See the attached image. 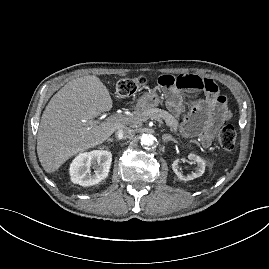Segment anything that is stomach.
Listing matches in <instances>:
<instances>
[{
  "label": "stomach",
  "instance_id": "obj_1",
  "mask_svg": "<svg viewBox=\"0 0 269 269\" xmlns=\"http://www.w3.org/2000/svg\"><path fill=\"white\" fill-rule=\"evenodd\" d=\"M160 99L155 91L146 93L138 102V107L141 110H149L159 105Z\"/></svg>",
  "mask_w": 269,
  "mask_h": 269
}]
</instances>
